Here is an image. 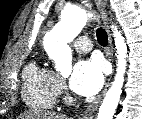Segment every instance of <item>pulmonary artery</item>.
Wrapping results in <instances>:
<instances>
[{
  "mask_svg": "<svg viewBox=\"0 0 142 119\" xmlns=\"http://www.w3.org/2000/svg\"><path fill=\"white\" fill-rule=\"evenodd\" d=\"M75 50L79 53H87L92 49V42L87 37H79L73 44Z\"/></svg>",
  "mask_w": 142,
  "mask_h": 119,
  "instance_id": "e3ab8cb5",
  "label": "pulmonary artery"
}]
</instances>
